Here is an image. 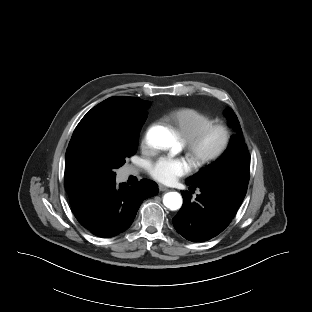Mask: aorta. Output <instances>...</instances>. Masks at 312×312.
<instances>
[{
  "label": "aorta",
  "instance_id": "obj_1",
  "mask_svg": "<svg viewBox=\"0 0 312 312\" xmlns=\"http://www.w3.org/2000/svg\"><path fill=\"white\" fill-rule=\"evenodd\" d=\"M148 142L156 148H170L175 139L170 130L164 126H154L147 134ZM164 205L170 210H178L182 206V197L178 192H168L163 197Z\"/></svg>",
  "mask_w": 312,
  "mask_h": 312
}]
</instances>
